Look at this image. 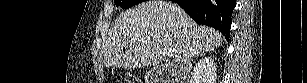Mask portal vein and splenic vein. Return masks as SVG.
Wrapping results in <instances>:
<instances>
[{
	"mask_svg": "<svg viewBox=\"0 0 307 83\" xmlns=\"http://www.w3.org/2000/svg\"><path fill=\"white\" fill-rule=\"evenodd\" d=\"M162 54L166 57H171L173 56V51L171 49H164Z\"/></svg>",
	"mask_w": 307,
	"mask_h": 83,
	"instance_id": "obj_1",
	"label": "portal vein and splenic vein"
}]
</instances>
